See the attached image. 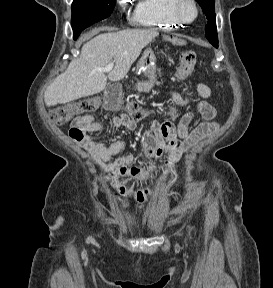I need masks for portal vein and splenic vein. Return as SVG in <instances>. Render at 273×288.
I'll list each match as a JSON object with an SVG mask.
<instances>
[{
	"label": "portal vein and splenic vein",
	"instance_id": "1",
	"mask_svg": "<svg viewBox=\"0 0 273 288\" xmlns=\"http://www.w3.org/2000/svg\"><path fill=\"white\" fill-rule=\"evenodd\" d=\"M113 67H114V62H111L108 65H106L104 68H102V71L109 72L110 70H112Z\"/></svg>",
	"mask_w": 273,
	"mask_h": 288
}]
</instances>
